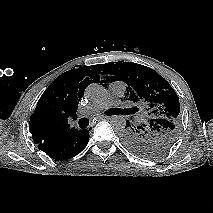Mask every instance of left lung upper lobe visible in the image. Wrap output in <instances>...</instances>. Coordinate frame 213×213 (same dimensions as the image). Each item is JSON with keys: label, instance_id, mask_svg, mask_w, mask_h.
Here are the masks:
<instances>
[{"label": "left lung upper lobe", "instance_id": "5c2ea615", "mask_svg": "<svg viewBox=\"0 0 213 213\" xmlns=\"http://www.w3.org/2000/svg\"><path fill=\"white\" fill-rule=\"evenodd\" d=\"M106 74L104 83L124 81L130 90L129 100L141 110L140 121L130 125L127 121L122 133L124 145L142 157H156L167 151L180 131V104L175 90L155 70L132 62H111L97 66Z\"/></svg>", "mask_w": 213, "mask_h": 213}]
</instances>
